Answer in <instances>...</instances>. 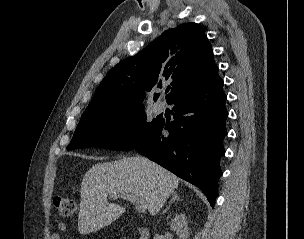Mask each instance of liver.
<instances>
[{"label": "liver", "instance_id": "obj_1", "mask_svg": "<svg viewBox=\"0 0 304 239\" xmlns=\"http://www.w3.org/2000/svg\"><path fill=\"white\" fill-rule=\"evenodd\" d=\"M178 184L177 176L141 156L97 163L86 172L81 184L79 233L96 232L125 212V207L108 203L112 194L136 195L145 200L149 213L155 215Z\"/></svg>", "mask_w": 304, "mask_h": 239}]
</instances>
